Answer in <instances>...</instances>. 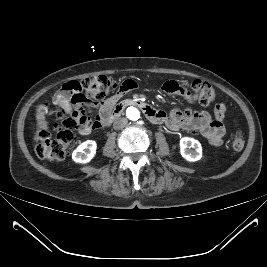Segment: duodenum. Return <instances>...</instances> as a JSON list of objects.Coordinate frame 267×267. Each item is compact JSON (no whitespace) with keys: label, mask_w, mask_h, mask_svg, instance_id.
I'll list each match as a JSON object with an SVG mask.
<instances>
[{"label":"duodenum","mask_w":267,"mask_h":267,"mask_svg":"<svg viewBox=\"0 0 267 267\" xmlns=\"http://www.w3.org/2000/svg\"><path fill=\"white\" fill-rule=\"evenodd\" d=\"M129 106L139 107L146 117L153 123H161L164 121V114L161 111L154 109L151 105L142 102L138 99H127L116 104L106 117V124H111L116 120Z\"/></svg>","instance_id":"obj_1"}]
</instances>
